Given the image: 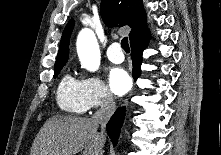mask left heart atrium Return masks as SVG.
Wrapping results in <instances>:
<instances>
[{
    "label": "left heart atrium",
    "instance_id": "39dd6f15",
    "mask_svg": "<svg viewBox=\"0 0 221 155\" xmlns=\"http://www.w3.org/2000/svg\"><path fill=\"white\" fill-rule=\"evenodd\" d=\"M109 83L112 91L117 95L125 94L131 87V79L122 68H114L110 71Z\"/></svg>",
    "mask_w": 221,
    "mask_h": 155
}]
</instances>
